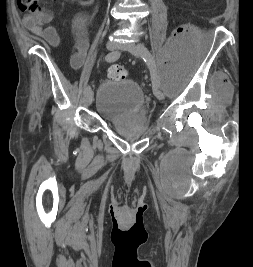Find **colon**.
I'll list each match as a JSON object with an SVG mask.
<instances>
[{
  "instance_id": "5ec220e1",
  "label": "colon",
  "mask_w": 253,
  "mask_h": 267,
  "mask_svg": "<svg viewBox=\"0 0 253 267\" xmlns=\"http://www.w3.org/2000/svg\"><path fill=\"white\" fill-rule=\"evenodd\" d=\"M16 2L21 11L37 12L40 9L39 0H17ZM108 75L113 80H123L127 76V70L122 65H113L109 68Z\"/></svg>"
}]
</instances>
